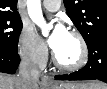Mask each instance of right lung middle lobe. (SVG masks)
Instances as JSON below:
<instances>
[{
    "label": "right lung middle lobe",
    "mask_w": 107,
    "mask_h": 89,
    "mask_svg": "<svg viewBox=\"0 0 107 89\" xmlns=\"http://www.w3.org/2000/svg\"><path fill=\"white\" fill-rule=\"evenodd\" d=\"M21 30L20 19L9 15L0 16V49L16 53Z\"/></svg>",
    "instance_id": "dd1d6c3e"
}]
</instances>
